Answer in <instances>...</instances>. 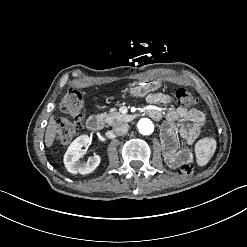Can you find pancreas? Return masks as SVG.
I'll list each match as a JSON object with an SVG mask.
<instances>
[{"mask_svg":"<svg viewBox=\"0 0 247 247\" xmlns=\"http://www.w3.org/2000/svg\"><path fill=\"white\" fill-rule=\"evenodd\" d=\"M109 125H113L115 122L126 121L127 115L119 112L103 113L100 115Z\"/></svg>","mask_w":247,"mask_h":247,"instance_id":"obj_1","label":"pancreas"}]
</instances>
